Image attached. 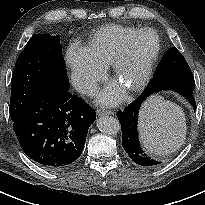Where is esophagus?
I'll return each mask as SVG.
<instances>
[{
	"label": "esophagus",
	"mask_w": 205,
	"mask_h": 205,
	"mask_svg": "<svg viewBox=\"0 0 205 205\" xmlns=\"http://www.w3.org/2000/svg\"><path fill=\"white\" fill-rule=\"evenodd\" d=\"M96 114H97L98 116H102V115H113L114 112H113V111H107V110L98 109V110L96 111Z\"/></svg>",
	"instance_id": "1"
}]
</instances>
